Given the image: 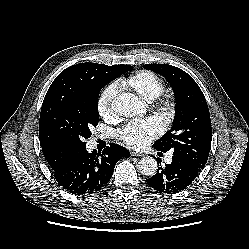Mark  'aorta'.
Wrapping results in <instances>:
<instances>
[{"instance_id": "1", "label": "aorta", "mask_w": 249, "mask_h": 249, "mask_svg": "<svg viewBox=\"0 0 249 249\" xmlns=\"http://www.w3.org/2000/svg\"><path fill=\"white\" fill-rule=\"evenodd\" d=\"M111 108L120 116L132 117L142 113L144 105L134 94L123 93L112 101ZM138 168L143 175L153 176L157 172L158 164L153 157L147 156L140 159Z\"/></svg>"}]
</instances>
